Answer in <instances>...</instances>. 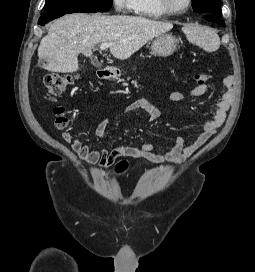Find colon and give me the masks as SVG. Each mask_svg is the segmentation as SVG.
<instances>
[{
	"mask_svg": "<svg viewBox=\"0 0 255 272\" xmlns=\"http://www.w3.org/2000/svg\"><path fill=\"white\" fill-rule=\"evenodd\" d=\"M75 76L70 74H49L44 78L43 84L47 93V96L51 100H55L57 97L66 92V90L74 83ZM194 80L198 85L205 84L209 80V75L205 73H198L194 76ZM56 116L55 126L59 129H63L68 125V118L65 114V109L57 107L54 109ZM127 167L126 162L121 161L116 165L118 172H123Z\"/></svg>",
	"mask_w": 255,
	"mask_h": 272,
	"instance_id": "5ec220e1",
	"label": "colon"
}]
</instances>
